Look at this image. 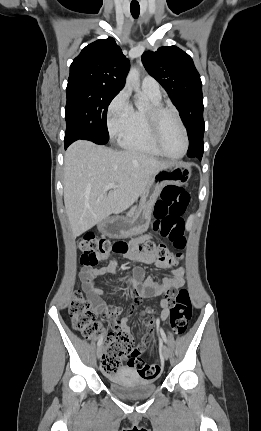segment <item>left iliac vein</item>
<instances>
[{"instance_id": "4c4485c4", "label": "left iliac vein", "mask_w": 261, "mask_h": 431, "mask_svg": "<svg viewBox=\"0 0 261 431\" xmlns=\"http://www.w3.org/2000/svg\"><path fill=\"white\" fill-rule=\"evenodd\" d=\"M161 351H162L163 357H164L166 360H168V359H169V357H170V352H169L168 347H167L166 345L162 344V345H161Z\"/></svg>"}]
</instances>
